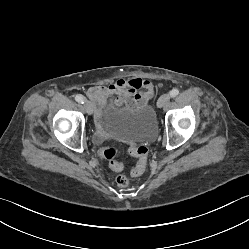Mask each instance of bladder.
I'll list each match as a JSON object with an SVG mask.
<instances>
[{
    "label": "bladder",
    "instance_id": "bladder-1",
    "mask_svg": "<svg viewBox=\"0 0 249 249\" xmlns=\"http://www.w3.org/2000/svg\"><path fill=\"white\" fill-rule=\"evenodd\" d=\"M100 126L127 142H150L157 133L156 117L150 104L127 109L116 100H110L101 112Z\"/></svg>",
    "mask_w": 249,
    "mask_h": 249
}]
</instances>
